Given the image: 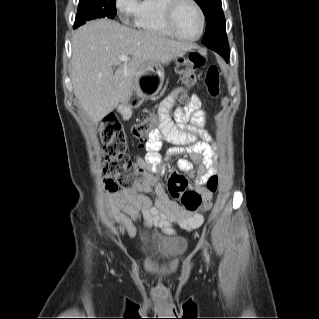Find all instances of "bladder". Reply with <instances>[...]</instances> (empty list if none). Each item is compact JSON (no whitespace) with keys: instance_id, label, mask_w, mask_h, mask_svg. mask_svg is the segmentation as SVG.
<instances>
[{"instance_id":"obj_1","label":"bladder","mask_w":319,"mask_h":319,"mask_svg":"<svg viewBox=\"0 0 319 319\" xmlns=\"http://www.w3.org/2000/svg\"><path fill=\"white\" fill-rule=\"evenodd\" d=\"M187 243L186 238L179 236L153 235L141 244L139 252L153 264H171L184 253Z\"/></svg>"}]
</instances>
